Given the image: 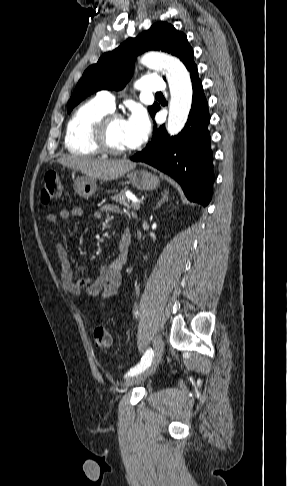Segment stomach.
<instances>
[{
	"instance_id": "obj_1",
	"label": "stomach",
	"mask_w": 287,
	"mask_h": 486,
	"mask_svg": "<svg viewBox=\"0 0 287 486\" xmlns=\"http://www.w3.org/2000/svg\"><path fill=\"white\" fill-rule=\"evenodd\" d=\"M131 184L139 190H154L159 186V178L145 170H132L127 174ZM74 191L82 198L88 199L97 190V179L93 177H80L74 181Z\"/></svg>"
}]
</instances>
